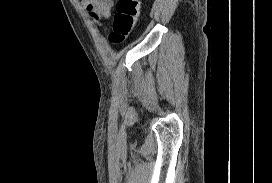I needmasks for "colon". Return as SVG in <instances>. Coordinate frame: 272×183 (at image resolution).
Segmentation results:
<instances>
[{
	"mask_svg": "<svg viewBox=\"0 0 272 183\" xmlns=\"http://www.w3.org/2000/svg\"><path fill=\"white\" fill-rule=\"evenodd\" d=\"M140 0H118L110 39L113 43L123 42L135 27L140 15Z\"/></svg>",
	"mask_w": 272,
	"mask_h": 183,
	"instance_id": "obj_1",
	"label": "colon"
}]
</instances>
